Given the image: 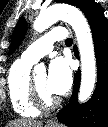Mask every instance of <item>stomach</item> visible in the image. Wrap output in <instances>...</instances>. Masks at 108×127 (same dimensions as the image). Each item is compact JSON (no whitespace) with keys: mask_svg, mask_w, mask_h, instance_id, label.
<instances>
[{"mask_svg":"<svg viewBox=\"0 0 108 127\" xmlns=\"http://www.w3.org/2000/svg\"><path fill=\"white\" fill-rule=\"evenodd\" d=\"M45 127H62L58 123L48 122Z\"/></svg>","mask_w":108,"mask_h":127,"instance_id":"stomach-1","label":"stomach"}]
</instances>
